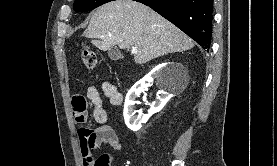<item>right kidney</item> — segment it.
<instances>
[{"label": "right kidney", "instance_id": "obj_1", "mask_svg": "<svg viewBox=\"0 0 277 166\" xmlns=\"http://www.w3.org/2000/svg\"><path fill=\"white\" fill-rule=\"evenodd\" d=\"M168 65L163 64L155 67L150 73H148L143 79L138 81L127 93L124 104V120L127 127L132 131H138L142 127V123H145L148 118L163 109L166 103L170 100L172 95L166 91H160L157 95V100L151 105L148 115H144L142 110H135V105L139 104L136 100L140 93L150 86V83L154 78L166 77L163 82V88L170 87L172 85L171 75L174 71L168 70ZM169 75V76H168ZM138 113V115H136Z\"/></svg>", "mask_w": 277, "mask_h": 166}]
</instances>
